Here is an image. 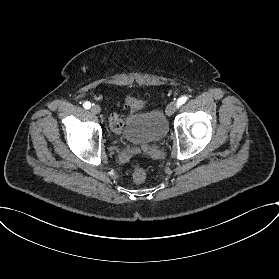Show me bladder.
Masks as SVG:
<instances>
[{"label": "bladder", "mask_w": 279, "mask_h": 279, "mask_svg": "<svg viewBox=\"0 0 279 279\" xmlns=\"http://www.w3.org/2000/svg\"><path fill=\"white\" fill-rule=\"evenodd\" d=\"M167 132V116L157 107L144 114L130 115L124 120L125 138L132 145L144 147L157 143Z\"/></svg>", "instance_id": "31cf9c89"}]
</instances>
